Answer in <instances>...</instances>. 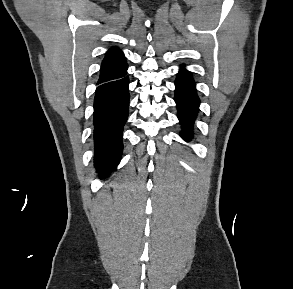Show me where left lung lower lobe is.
I'll use <instances>...</instances> for the list:
<instances>
[{"mask_svg": "<svg viewBox=\"0 0 293 289\" xmlns=\"http://www.w3.org/2000/svg\"><path fill=\"white\" fill-rule=\"evenodd\" d=\"M175 102L178 108V118L183 127L181 137L190 141L192 125L198 113L200 100L196 93L195 82L185 69H181L175 81Z\"/></svg>", "mask_w": 293, "mask_h": 289, "instance_id": "0a47b994", "label": "left lung lower lobe"}]
</instances>
